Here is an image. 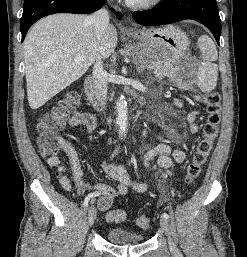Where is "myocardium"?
<instances>
[{
  "label": "myocardium",
  "mask_w": 247,
  "mask_h": 257,
  "mask_svg": "<svg viewBox=\"0 0 247 257\" xmlns=\"http://www.w3.org/2000/svg\"><path fill=\"white\" fill-rule=\"evenodd\" d=\"M162 0H138L127 2L128 5L134 9L148 10L158 6Z\"/></svg>",
  "instance_id": "f54148a6"
}]
</instances>
